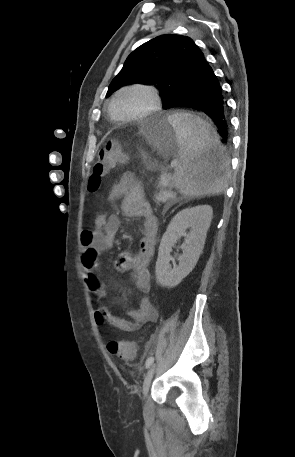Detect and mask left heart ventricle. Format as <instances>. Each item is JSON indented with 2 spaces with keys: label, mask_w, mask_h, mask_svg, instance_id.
Listing matches in <instances>:
<instances>
[{
  "label": "left heart ventricle",
  "mask_w": 295,
  "mask_h": 457,
  "mask_svg": "<svg viewBox=\"0 0 295 457\" xmlns=\"http://www.w3.org/2000/svg\"><path fill=\"white\" fill-rule=\"evenodd\" d=\"M150 105L149 96L140 90H131L118 96L114 112L118 117H130L141 113Z\"/></svg>",
  "instance_id": "obj_1"
}]
</instances>
